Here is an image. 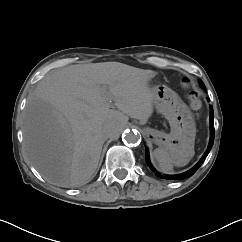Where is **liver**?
Listing matches in <instances>:
<instances>
[{"label": "liver", "instance_id": "1", "mask_svg": "<svg viewBox=\"0 0 242 242\" xmlns=\"http://www.w3.org/2000/svg\"><path fill=\"white\" fill-rule=\"evenodd\" d=\"M155 75L120 62L77 64L48 73L28 96L22 122L25 150L42 177L60 187L90 181L109 121L121 123L111 137L116 138L129 117L145 121L152 115L149 81Z\"/></svg>", "mask_w": 242, "mask_h": 242}]
</instances>
